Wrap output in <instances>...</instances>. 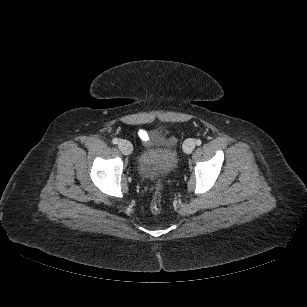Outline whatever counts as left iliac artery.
Returning a JSON list of instances; mask_svg holds the SVG:
<instances>
[{
	"label": "left iliac artery",
	"mask_w": 307,
	"mask_h": 307,
	"mask_svg": "<svg viewBox=\"0 0 307 307\" xmlns=\"http://www.w3.org/2000/svg\"><path fill=\"white\" fill-rule=\"evenodd\" d=\"M201 144H202V141H201L200 139H197V140H196V145H197V146H200Z\"/></svg>",
	"instance_id": "44dca946"
}]
</instances>
